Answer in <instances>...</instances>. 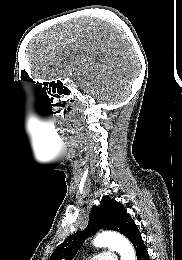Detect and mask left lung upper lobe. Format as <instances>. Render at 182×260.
I'll use <instances>...</instances> for the list:
<instances>
[{"instance_id":"obj_1","label":"left lung upper lobe","mask_w":182,"mask_h":260,"mask_svg":"<svg viewBox=\"0 0 182 260\" xmlns=\"http://www.w3.org/2000/svg\"><path fill=\"white\" fill-rule=\"evenodd\" d=\"M135 223L119 202L105 196L100 205L92 206L87 228L67 237L52 253L49 260H72L86 238L93 236L102 227L128 236Z\"/></svg>"}]
</instances>
